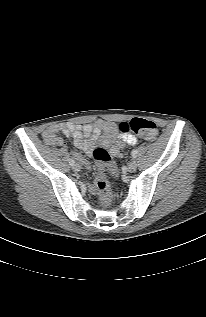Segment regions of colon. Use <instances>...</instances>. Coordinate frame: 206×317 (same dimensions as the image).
Wrapping results in <instances>:
<instances>
[{
	"label": "colon",
	"instance_id": "1",
	"mask_svg": "<svg viewBox=\"0 0 206 317\" xmlns=\"http://www.w3.org/2000/svg\"><path fill=\"white\" fill-rule=\"evenodd\" d=\"M122 133L133 132L149 141L156 139L158 129L153 121L143 118H133L119 125ZM93 157L98 164V172L95 178V187L100 194V198L105 205L111 203L110 184L105 175V168H109L112 173H116V168L112 164L111 155L108 150L103 147L96 148L93 151Z\"/></svg>",
	"mask_w": 206,
	"mask_h": 317
}]
</instances>
